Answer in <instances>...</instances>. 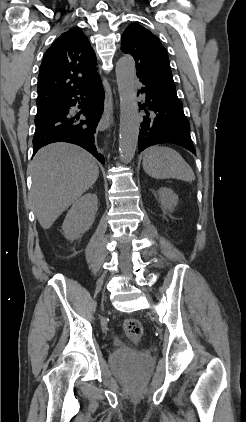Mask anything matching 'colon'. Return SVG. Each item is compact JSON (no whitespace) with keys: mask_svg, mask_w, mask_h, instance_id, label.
<instances>
[{"mask_svg":"<svg viewBox=\"0 0 246 422\" xmlns=\"http://www.w3.org/2000/svg\"><path fill=\"white\" fill-rule=\"evenodd\" d=\"M125 335L134 343H138L143 336V325L136 318H127L123 323Z\"/></svg>","mask_w":246,"mask_h":422,"instance_id":"5ec220e1","label":"colon"}]
</instances>
